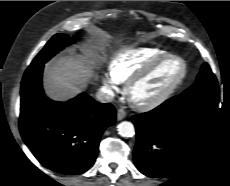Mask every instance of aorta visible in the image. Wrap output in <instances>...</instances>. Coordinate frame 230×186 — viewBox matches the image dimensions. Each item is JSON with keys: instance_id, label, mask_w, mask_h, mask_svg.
<instances>
[{"instance_id": "762f6f07", "label": "aorta", "mask_w": 230, "mask_h": 186, "mask_svg": "<svg viewBox=\"0 0 230 186\" xmlns=\"http://www.w3.org/2000/svg\"><path fill=\"white\" fill-rule=\"evenodd\" d=\"M118 133L120 136L129 138L133 137L135 134L134 125L131 122L123 121L118 126Z\"/></svg>"}]
</instances>
